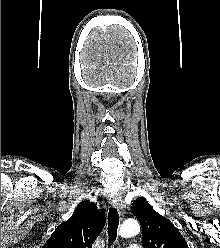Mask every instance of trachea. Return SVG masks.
Masks as SVG:
<instances>
[{
	"label": "trachea",
	"instance_id": "3493384b",
	"mask_svg": "<svg viewBox=\"0 0 220 248\" xmlns=\"http://www.w3.org/2000/svg\"><path fill=\"white\" fill-rule=\"evenodd\" d=\"M119 225V214L116 208H110L108 213V246L110 247L116 240Z\"/></svg>",
	"mask_w": 220,
	"mask_h": 248
}]
</instances>
